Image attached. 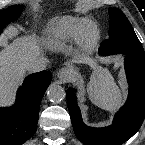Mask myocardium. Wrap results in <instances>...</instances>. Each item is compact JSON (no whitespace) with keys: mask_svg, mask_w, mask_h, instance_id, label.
Wrapping results in <instances>:
<instances>
[{"mask_svg":"<svg viewBox=\"0 0 145 145\" xmlns=\"http://www.w3.org/2000/svg\"><path fill=\"white\" fill-rule=\"evenodd\" d=\"M97 37H98L97 30H91L87 34L86 39H85V42L88 45H92L96 41Z\"/></svg>","mask_w":145,"mask_h":145,"instance_id":"obj_1","label":"myocardium"}]
</instances>
